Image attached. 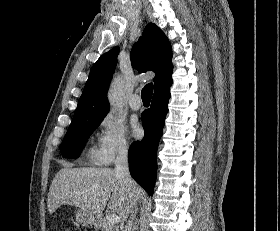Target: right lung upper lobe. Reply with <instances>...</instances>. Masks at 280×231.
Here are the masks:
<instances>
[{"mask_svg":"<svg viewBox=\"0 0 280 231\" xmlns=\"http://www.w3.org/2000/svg\"><path fill=\"white\" fill-rule=\"evenodd\" d=\"M119 48L104 53L93 65L89 78L79 99L71 125L104 119L109 111L106 97L114 73ZM171 46L164 32L155 24L149 23L142 37L131 50V62L139 72H155L154 95L168 91L172 84Z\"/></svg>","mask_w":280,"mask_h":231,"instance_id":"cb5924a9","label":"right lung upper lobe"}]
</instances>
